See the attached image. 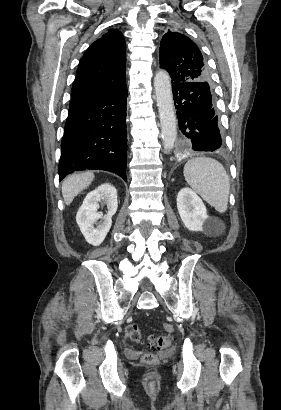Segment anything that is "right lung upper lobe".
<instances>
[{
  "label": "right lung upper lobe",
  "mask_w": 281,
  "mask_h": 410,
  "mask_svg": "<svg viewBox=\"0 0 281 410\" xmlns=\"http://www.w3.org/2000/svg\"><path fill=\"white\" fill-rule=\"evenodd\" d=\"M125 67L124 37L118 30L111 29L84 53L72 86L70 106L125 85Z\"/></svg>",
  "instance_id": "right-lung-upper-lobe-1"
}]
</instances>
